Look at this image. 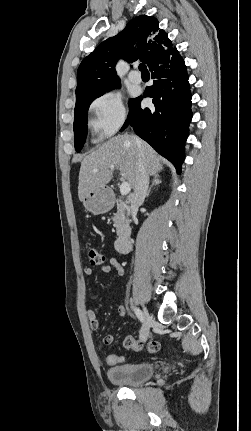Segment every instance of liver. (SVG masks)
Segmentation results:
<instances>
[{
  "mask_svg": "<svg viewBox=\"0 0 251 431\" xmlns=\"http://www.w3.org/2000/svg\"><path fill=\"white\" fill-rule=\"evenodd\" d=\"M139 151L144 156L148 175H155L163 169L161 158L156 151L145 141L128 134L112 137L85 156L79 172V200L82 201L92 190L104 188L111 181L112 165L119 169L122 180H127L134 188ZM94 169H98V172H94Z\"/></svg>",
  "mask_w": 251,
  "mask_h": 431,
  "instance_id": "1",
  "label": "liver"
}]
</instances>
